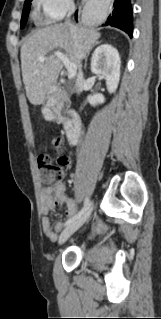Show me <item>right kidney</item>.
I'll return each mask as SVG.
<instances>
[{
  "label": "right kidney",
  "mask_w": 161,
  "mask_h": 319,
  "mask_svg": "<svg viewBox=\"0 0 161 319\" xmlns=\"http://www.w3.org/2000/svg\"><path fill=\"white\" fill-rule=\"evenodd\" d=\"M120 56L114 47L109 44L99 46L93 53L91 59V71L94 74L103 75L106 79L107 90L114 93L120 80ZM88 102L92 106L102 104L105 98L102 94L89 95Z\"/></svg>",
  "instance_id": "obj_1"
}]
</instances>
